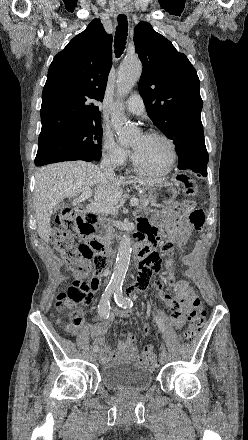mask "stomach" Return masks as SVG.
<instances>
[{
  "label": "stomach",
  "instance_id": "stomach-1",
  "mask_svg": "<svg viewBox=\"0 0 248 440\" xmlns=\"http://www.w3.org/2000/svg\"><path fill=\"white\" fill-rule=\"evenodd\" d=\"M144 190L147 191V198L150 204L158 208L169 205L177 197V190L171 183L165 181L145 185ZM96 230L98 239L105 241L107 239L105 232H110L111 225L110 223H106L105 220H102L101 223H97Z\"/></svg>",
  "mask_w": 248,
  "mask_h": 440
}]
</instances>
